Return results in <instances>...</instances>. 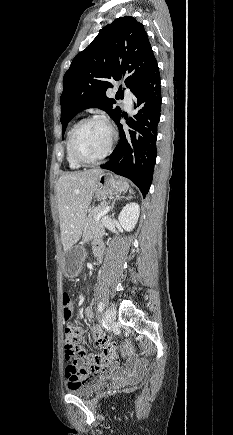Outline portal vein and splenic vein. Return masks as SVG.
I'll return each instance as SVG.
<instances>
[{"label": "portal vein and splenic vein", "instance_id": "1", "mask_svg": "<svg viewBox=\"0 0 233 435\" xmlns=\"http://www.w3.org/2000/svg\"><path fill=\"white\" fill-rule=\"evenodd\" d=\"M110 208H111V207H106L105 210H104L103 212H101V213L97 216L96 219L98 220L101 216L107 214V213L109 212Z\"/></svg>", "mask_w": 233, "mask_h": 435}]
</instances>
